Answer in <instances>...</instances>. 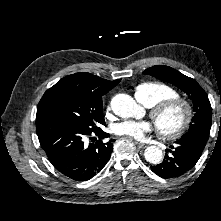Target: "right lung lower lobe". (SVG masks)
Returning a JSON list of instances; mask_svg holds the SVG:
<instances>
[{
  "label": "right lung lower lobe",
  "mask_w": 221,
  "mask_h": 221,
  "mask_svg": "<svg viewBox=\"0 0 221 221\" xmlns=\"http://www.w3.org/2000/svg\"><path fill=\"white\" fill-rule=\"evenodd\" d=\"M36 130L51 164L70 179L89 180L110 159L114 140L104 143L109 134L102 130L89 133L46 114L36 115ZM86 137L94 143L84 144Z\"/></svg>",
  "instance_id": "right-lung-lower-lobe-1"
}]
</instances>
